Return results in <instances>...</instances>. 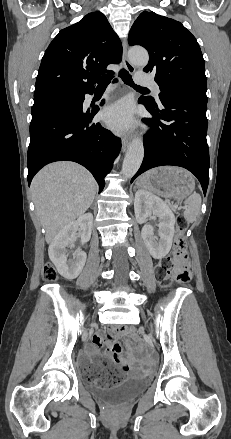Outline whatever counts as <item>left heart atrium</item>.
I'll list each match as a JSON object with an SVG mask.
<instances>
[{"label": "left heart atrium", "instance_id": "1", "mask_svg": "<svg viewBox=\"0 0 231 439\" xmlns=\"http://www.w3.org/2000/svg\"><path fill=\"white\" fill-rule=\"evenodd\" d=\"M105 124L114 131L122 132L134 127L132 105L126 101H118L107 107L102 113Z\"/></svg>", "mask_w": 231, "mask_h": 439}]
</instances>
